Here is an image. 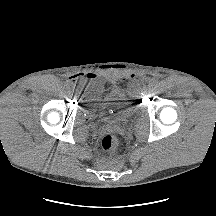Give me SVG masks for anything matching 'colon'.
I'll use <instances>...</instances> for the list:
<instances>
[{
  "instance_id": "colon-1",
  "label": "colon",
  "mask_w": 216,
  "mask_h": 216,
  "mask_svg": "<svg viewBox=\"0 0 216 216\" xmlns=\"http://www.w3.org/2000/svg\"><path fill=\"white\" fill-rule=\"evenodd\" d=\"M121 140L116 134H106L101 141V146L106 151L116 150L120 146Z\"/></svg>"
}]
</instances>
